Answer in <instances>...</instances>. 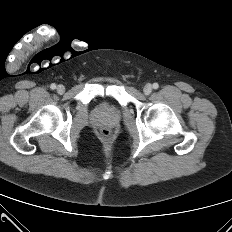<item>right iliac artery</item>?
<instances>
[{
    "instance_id": "82829eb1",
    "label": "right iliac artery",
    "mask_w": 232,
    "mask_h": 232,
    "mask_svg": "<svg viewBox=\"0 0 232 232\" xmlns=\"http://www.w3.org/2000/svg\"><path fill=\"white\" fill-rule=\"evenodd\" d=\"M50 88H51L52 90L56 89V84H54V83L51 84Z\"/></svg>"
}]
</instances>
